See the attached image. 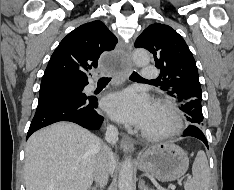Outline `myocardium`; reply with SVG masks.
<instances>
[{"instance_id":"myocardium-1","label":"myocardium","mask_w":234,"mask_h":190,"mask_svg":"<svg viewBox=\"0 0 234 190\" xmlns=\"http://www.w3.org/2000/svg\"><path fill=\"white\" fill-rule=\"evenodd\" d=\"M154 108L166 114L170 120L168 127L161 130H142V136L148 140L156 141L178 135L183 129V120L178 109L166 100H157Z\"/></svg>"}]
</instances>
